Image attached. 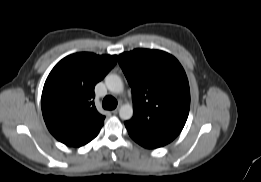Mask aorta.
<instances>
[{
  "mask_svg": "<svg viewBox=\"0 0 261 182\" xmlns=\"http://www.w3.org/2000/svg\"><path fill=\"white\" fill-rule=\"evenodd\" d=\"M105 84L107 89L114 94L123 91V82L117 74H108L105 77ZM119 116L122 120H129L133 116L132 106L129 104L122 105L119 109Z\"/></svg>",
  "mask_w": 261,
  "mask_h": 182,
  "instance_id": "obj_1",
  "label": "aorta"
}]
</instances>
